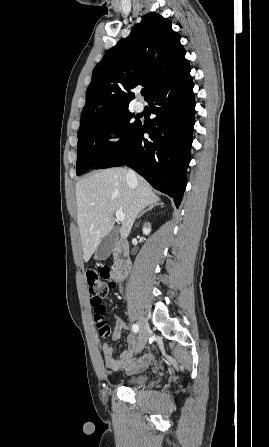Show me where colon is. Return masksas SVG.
<instances>
[{"instance_id":"colon-1","label":"colon","mask_w":269,"mask_h":447,"mask_svg":"<svg viewBox=\"0 0 269 447\" xmlns=\"http://www.w3.org/2000/svg\"><path fill=\"white\" fill-rule=\"evenodd\" d=\"M100 267H107L105 262H97L95 266H89L85 275L88 294L90 295L89 301L92 306L95 307L93 312V319L97 320V338L98 339H111L114 336L113 331L109 330L110 325L104 321L103 313L105 308L101 305L100 298L107 296L109 291V283L104 280L98 273Z\"/></svg>"}]
</instances>
